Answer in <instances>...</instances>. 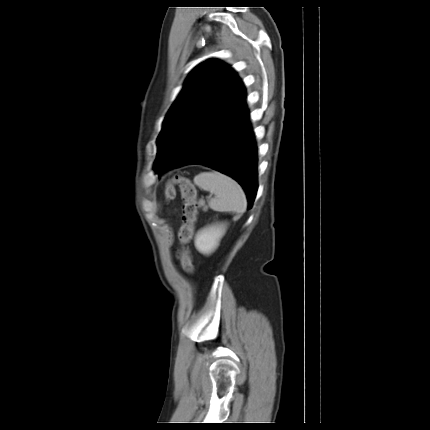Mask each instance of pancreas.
<instances>
[{
	"mask_svg": "<svg viewBox=\"0 0 430 430\" xmlns=\"http://www.w3.org/2000/svg\"><path fill=\"white\" fill-rule=\"evenodd\" d=\"M199 205H200V206H203V210H204V211H207V206H205V204H204V201H203V200H200Z\"/></svg>",
	"mask_w": 430,
	"mask_h": 430,
	"instance_id": "cf45deb5",
	"label": "pancreas"
}]
</instances>
